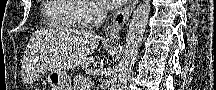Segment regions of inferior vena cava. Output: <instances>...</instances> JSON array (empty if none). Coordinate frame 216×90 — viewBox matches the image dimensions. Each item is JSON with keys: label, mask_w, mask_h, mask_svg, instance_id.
I'll use <instances>...</instances> for the list:
<instances>
[{"label": "inferior vena cava", "mask_w": 216, "mask_h": 90, "mask_svg": "<svg viewBox=\"0 0 216 90\" xmlns=\"http://www.w3.org/2000/svg\"><path fill=\"white\" fill-rule=\"evenodd\" d=\"M96 10H97L98 20H106V18H107L106 10H104V8H99V6H97Z\"/></svg>", "instance_id": "obj_1"}]
</instances>
